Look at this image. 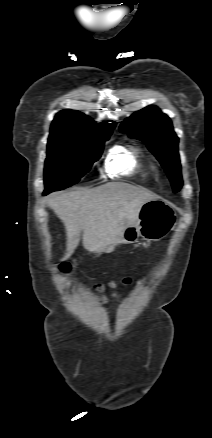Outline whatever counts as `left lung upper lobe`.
<instances>
[{"label": "left lung upper lobe", "instance_id": "1", "mask_svg": "<svg viewBox=\"0 0 212 438\" xmlns=\"http://www.w3.org/2000/svg\"><path fill=\"white\" fill-rule=\"evenodd\" d=\"M121 132L129 131V137L147 144L165 169L174 192L182 186L181 166L178 154V137L169 117L157 107L148 106L132 114L122 122Z\"/></svg>", "mask_w": 212, "mask_h": 438}]
</instances>
